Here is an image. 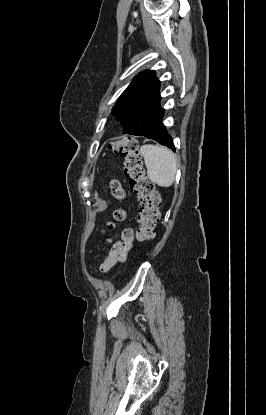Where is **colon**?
I'll return each mask as SVG.
<instances>
[{"instance_id":"1","label":"colon","mask_w":266,"mask_h":415,"mask_svg":"<svg viewBox=\"0 0 266 415\" xmlns=\"http://www.w3.org/2000/svg\"><path fill=\"white\" fill-rule=\"evenodd\" d=\"M109 148L125 159V175L140 205L137 218V238L140 241L151 240L154 238L155 227L160 218V194L156 190L154 182L146 173L137 141L125 137L111 143ZM110 188L116 199L122 200L124 198V190L117 180L112 179L110 181ZM113 217L116 221H122L125 218V213L123 210L117 209L114 211Z\"/></svg>"}]
</instances>
